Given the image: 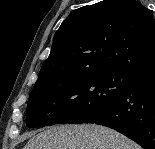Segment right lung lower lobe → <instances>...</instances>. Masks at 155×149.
I'll return each instance as SVG.
<instances>
[{"label":"right lung lower lobe","instance_id":"obj_1","mask_svg":"<svg viewBox=\"0 0 155 149\" xmlns=\"http://www.w3.org/2000/svg\"><path fill=\"white\" fill-rule=\"evenodd\" d=\"M89 123L115 129L144 149H155V70L137 74L127 92Z\"/></svg>","mask_w":155,"mask_h":149}]
</instances>
